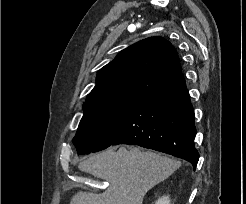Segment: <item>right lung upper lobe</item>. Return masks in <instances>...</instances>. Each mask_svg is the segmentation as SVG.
<instances>
[{"instance_id":"cb5924a9","label":"right lung upper lobe","mask_w":246,"mask_h":204,"mask_svg":"<svg viewBox=\"0 0 246 204\" xmlns=\"http://www.w3.org/2000/svg\"><path fill=\"white\" fill-rule=\"evenodd\" d=\"M182 73L176 50L166 39L150 37L122 50L99 70L86 102L139 97Z\"/></svg>"}]
</instances>
